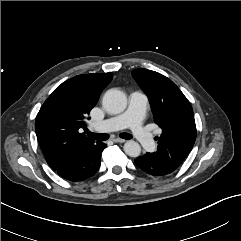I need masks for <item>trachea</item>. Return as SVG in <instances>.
Listing matches in <instances>:
<instances>
[{
  "label": "trachea",
  "instance_id": "1",
  "mask_svg": "<svg viewBox=\"0 0 241 241\" xmlns=\"http://www.w3.org/2000/svg\"><path fill=\"white\" fill-rule=\"evenodd\" d=\"M89 136L95 138L96 140L98 141H105L109 138V135L108 134H93V133H88ZM121 138L123 139H126V140H129V139H132L133 136L128 134V133H121L119 135Z\"/></svg>",
  "mask_w": 241,
  "mask_h": 241
}]
</instances>
